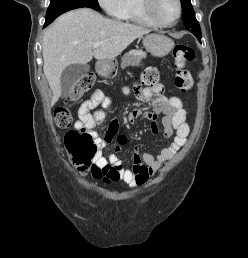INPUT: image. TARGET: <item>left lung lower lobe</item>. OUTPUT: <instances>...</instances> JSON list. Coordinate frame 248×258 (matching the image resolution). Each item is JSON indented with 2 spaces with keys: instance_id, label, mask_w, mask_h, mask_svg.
<instances>
[{
  "instance_id": "left-lung-lower-lobe-1",
  "label": "left lung lower lobe",
  "mask_w": 248,
  "mask_h": 258,
  "mask_svg": "<svg viewBox=\"0 0 248 258\" xmlns=\"http://www.w3.org/2000/svg\"><path fill=\"white\" fill-rule=\"evenodd\" d=\"M191 32L197 37V39L201 42V31L200 29L191 30Z\"/></svg>"
}]
</instances>
